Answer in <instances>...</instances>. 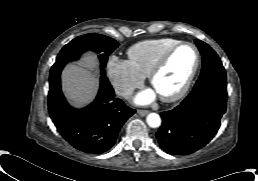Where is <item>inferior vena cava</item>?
I'll return each mask as SVG.
<instances>
[{"label": "inferior vena cava", "mask_w": 258, "mask_h": 181, "mask_svg": "<svg viewBox=\"0 0 258 181\" xmlns=\"http://www.w3.org/2000/svg\"><path fill=\"white\" fill-rule=\"evenodd\" d=\"M115 91L122 97H129L133 93L134 88L127 85H117Z\"/></svg>", "instance_id": "obj_1"}]
</instances>
